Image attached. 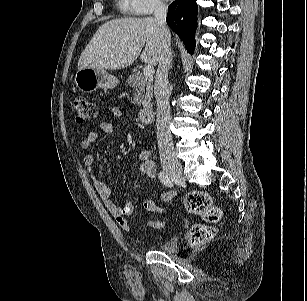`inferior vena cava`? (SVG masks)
Returning <instances> with one entry per match:
<instances>
[{
	"mask_svg": "<svg viewBox=\"0 0 307 301\" xmlns=\"http://www.w3.org/2000/svg\"><path fill=\"white\" fill-rule=\"evenodd\" d=\"M167 6L157 3L154 17L158 21L161 31V58L155 76L154 94L157 102V140L160 156L174 154V145L170 132V106L168 68L172 62L170 49V32L166 26Z\"/></svg>",
	"mask_w": 307,
	"mask_h": 301,
	"instance_id": "1",
	"label": "inferior vena cava"
}]
</instances>
